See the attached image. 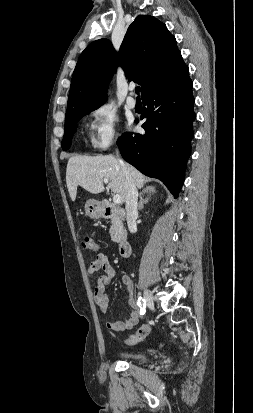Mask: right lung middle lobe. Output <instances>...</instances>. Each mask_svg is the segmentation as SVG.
<instances>
[{
    "mask_svg": "<svg viewBox=\"0 0 253 413\" xmlns=\"http://www.w3.org/2000/svg\"><path fill=\"white\" fill-rule=\"evenodd\" d=\"M92 110H88L85 112H82L80 114H77L71 118H69L68 120H65V130H64V138L62 140V148L63 150H67L69 149L70 145H71V140L72 137L76 131L77 128V122L87 113L91 112Z\"/></svg>",
    "mask_w": 253,
    "mask_h": 413,
    "instance_id": "dd1d6c3e",
    "label": "right lung middle lobe"
}]
</instances>
